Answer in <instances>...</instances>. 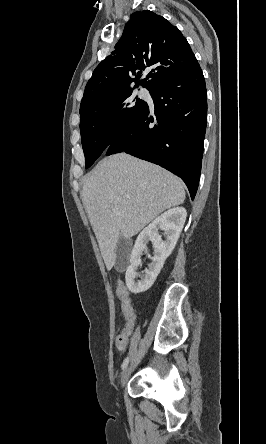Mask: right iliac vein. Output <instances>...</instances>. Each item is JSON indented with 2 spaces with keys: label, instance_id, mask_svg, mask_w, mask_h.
I'll use <instances>...</instances> for the list:
<instances>
[{
  "label": "right iliac vein",
  "instance_id": "obj_1",
  "mask_svg": "<svg viewBox=\"0 0 266 444\" xmlns=\"http://www.w3.org/2000/svg\"><path fill=\"white\" fill-rule=\"evenodd\" d=\"M130 374H131V366H127L124 369V371L122 373V376H121V386L122 387H125L128 379H129Z\"/></svg>",
  "mask_w": 266,
  "mask_h": 444
}]
</instances>
